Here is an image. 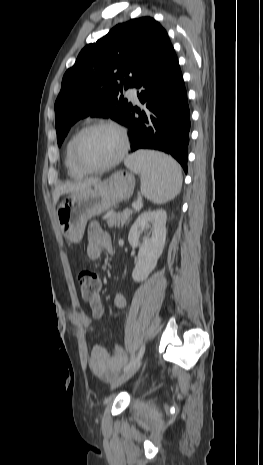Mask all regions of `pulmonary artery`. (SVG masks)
Segmentation results:
<instances>
[{
    "instance_id": "1",
    "label": "pulmonary artery",
    "mask_w": 263,
    "mask_h": 465,
    "mask_svg": "<svg viewBox=\"0 0 263 465\" xmlns=\"http://www.w3.org/2000/svg\"><path fill=\"white\" fill-rule=\"evenodd\" d=\"M126 96H127L128 99H130L131 101H133L135 103H137L139 101L138 93H137V90L135 88L127 89Z\"/></svg>"
}]
</instances>
